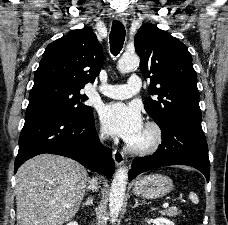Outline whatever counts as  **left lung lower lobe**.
I'll use <instances>...</instances> for the list:
<instances>
[{"label": "left lung lower lobe", "instance_id": "left-lung-lower-lobe-1", "mask_svg": "<svg viewBox=\"0 0 228 225\" xmlns=\"http://www.w3.org/2000/svg\"><path fill=\"white\" fill-rule=\"evenodd\" d=\"M162 143L151 156L137 157L129 171V180L137 174L169 165H188L210 175L208 146L201 122L173 119L160 127Z\"/></svg>", "mask_w": 228, "mask_h": 225}]
</instances>
